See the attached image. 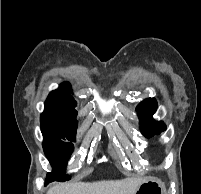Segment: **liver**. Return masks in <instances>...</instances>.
Segmentation results:
<instances>
[{
	"label": "liver",
	"mask_w": 201,
	"mask_h": 194,
	"mask_svg": "<svg viewBox=\"0 0 201 194\" xmlns=\"http://www.w3.org/2000/svg\"><path fill=\"white\" fill-rule=\"evenodd\" d=\"M143 181V179L132 177L91 183H58L51 187L47 194H135Z\"/></svg>",
	"instance_id": "liver-1"
}]
</instances>
